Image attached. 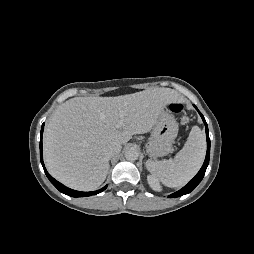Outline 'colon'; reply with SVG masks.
Returning <instances> with one entry per match:
<instances>
[{"mask_svg":"<svg viewBox=\"0 0 254 254\" xmlns=\"http://www.w3.org/2000/svg\"><path fill=\"white\" fill-rule=\"evenodd\" d=\"M170 109L172 112L174 113H182L184 110V106L182 103L179 102H173L170 106ZM181 122L183 124H187L188 123V118L186 116H182L181 118Z\"/></svg>","mask_w":254,"mask_h":254,"instance_id":"colon-1","label":"colon"}]
</instances>
